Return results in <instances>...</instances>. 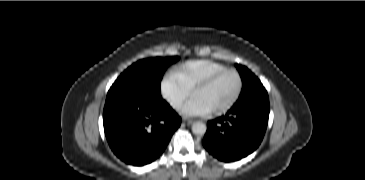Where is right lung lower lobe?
<instances>
[{"instance_id": "right-lung-lower-lobe-1", "label": "right lung lower lobe", "mask_w": 365, "mask_h": 180, "mask_svg": "<svg viewBox=\"0 0 365 180\" xmlns=\"http://www.w3.org/2000/svg\"><path fill=\"white\" fill-rule=\"evenodd\" d=\"M103 124L116 156L141 166L162 154L181 118L161 94L131 92L106 100Z\"/></svg>"}]
</instances>
